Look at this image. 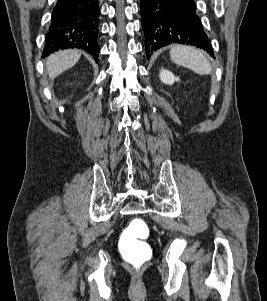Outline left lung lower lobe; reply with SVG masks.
I'll use <instances>...</instances> for the list:
<instances>
[{"label":"left lung lower lobe","instance_id":"left-lung-lower-lobe-1","mask_svg":"<svg viewBox=\"0 0 267 301\" xmlns=\"http://www.w3.org/2000/svg\"><path fill=\"white\" fill-rule=\"evenodd\" d=\"M140 12L147 59L170 43L193 45L214 57L194 0H141Z\"/></svg>","mask_w":267,"mask_h":301}]
</instances>
